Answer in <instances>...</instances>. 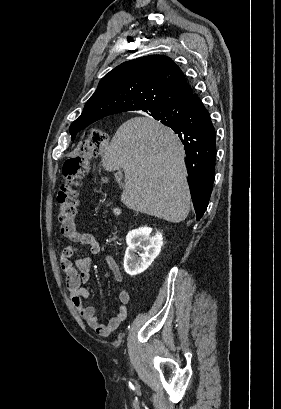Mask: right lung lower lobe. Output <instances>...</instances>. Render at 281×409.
I'll return each instance as SVG.
<instances>
[{
	"mask_svg": "<svg viewBox=\"0 0 281 409\" xmlns=\"http://www.w3.org/2000/svg\"><path fill=\"white\" fill-rule=\"evenodd\" d=\"M154 118L172 117L168 125L181 139L191 197L197 220L203 216L213 187L216 158V133L210 114L197 94L169 106L150 111Z\"/></svg>",
	"mask_w": 281,
	"mask_h": 409,
	"instance_id": "1",
	"label": "right lung lower lobe"
}]
</instances>
